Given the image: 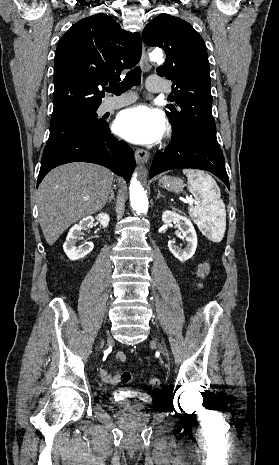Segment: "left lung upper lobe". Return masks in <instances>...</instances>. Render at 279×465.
<instances>
[{"label":"left lung upper lobe","instance_id":"5c2ea615","mask_svg":"<svg viewBox=\"0 0 279 465\" xmlns=\"http://www.w3.org/2000/svg\"><path fill=\"white\" fill-rule=\"evenodd\" d=\"M143 40L166 52V61L157 73L173 82L169 100L175 104L166 106L172 137L194 134L218 144L211 110L209 61L202 37L188 22L163 13L145 26Z\"/></svg>","mask_w":279,"mask_h":465}]
</instances>
